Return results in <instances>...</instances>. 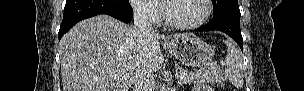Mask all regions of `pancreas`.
<instances>
[{
    "instance_id": "obj_1",
    "label": "pancreas",
    "mask_w": 304,
    "mask_h": 91,
    "mask_svg": "<svg viewBox=\"0 0 304 91\" xmlns=\"http://www.w3.org/2000/svg\"><path fill=\"white\" fill-rule=\"evenodd\" d=\"M176 72L182 76L186 74L185 83L193 82H209L211 84H223V70L219 66H208L203 70L196 72H188V70L183 68H176Z\"/></svg>"
}]
</instances>
